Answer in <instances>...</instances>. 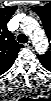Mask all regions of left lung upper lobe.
<instances>
[{
  "mask_svg": "<svg viewBox=\"0 0 51 101\" xmlns=\"http://www.w3.org/2000/svg\"><path fill=\"white\" fill-rule=\"evenodd\" d=\"M33 10L37 12L40 19L43 22V27L46 31L47 37L51 38V3L46 4L45 6H37L31 7ZM38 58L42 59L44 64L49 65L51 64V49L49 48L48 51L43 54H37Z\"/></svg>",
  "mask_w": 51,
  "mask_h": 101,
  "instance_id": "5c2ea615",
  "label": "left lung upper lobe"
}]
</instances>
